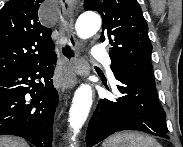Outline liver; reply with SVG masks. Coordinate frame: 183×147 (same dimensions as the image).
Returning <instances> with one entry per match:
<instances>
[{
    "mask_svg": "<svg viewBox=\"0 0 183 147\" xmlns=\"http://www.w3.org/2000/svg\"><path fill=\"white\" fill-rule=\"evenodd\" d=\"M0 147H28V144L23 140L4 136L0 137Z\"/></svg>",
    "mask_w": 183,
    "mask_h": 147,
    "instance_id": "6515ba94",
    "label": "liver"
}]
</instances>
